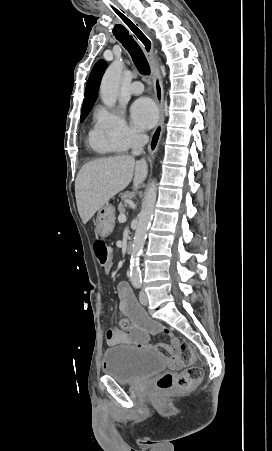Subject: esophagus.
<instances>
[{
	"instance_id": "esophagus-1",
	"label": "esophagus",
	"mask_w": 272,
	"mask_h": 451,
	"mask_svg": "<svg viewBox=\"0 0 272 451\" xmlns=\"http://www.w3.org/2000/svg\"><path fill=\"white\" fill-rule=\"evenodd\" d=\"M137 27V26H136ZM133 35L137 38V40L141 43L146 58L150 64L152 71V79H153V89L155 95V101L159 110V120L157 122L156 127L154 128L150 141L148 144V152L153 155L159 146L164 126V107H163V85L162 79L159 71V67L155 62L153 56V42L148 34H146L139 26L137 28H133Z\"/></svg>"
}]
</instances>
